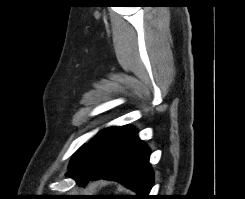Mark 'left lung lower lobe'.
<instances>
[{
  "label": "left lung lower lobe",
  "mask_w": 245,
  "mask_h": 199,
  "mask_svg": "<svg viewBox=\"0 0 245 199\" xmlns=\"http://www.w3.org/2000/svg\"><path fill=\"white\" fill-rule=\"evenodd\" d=\"M149 155L133 128H107L87 143L67 175L81 186L92 179L116 180L146 199L153 183Z\"/></svg>",
  "instance_id": "1"
}]
</instances>
